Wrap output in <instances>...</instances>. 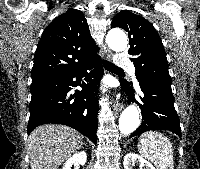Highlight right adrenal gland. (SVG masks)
Returning a JSON list of instances; mask_svg holds the SVG:
<instances>
[{
	"label": "right adrenal gland",
	"instance_id": "2a0ac1e0",
	"mask_svg": "<svg viewBox=\"0 0 200 169\" xmlns=\"http://www.w3.org/2000/svg\"><path fill=\"white\" fill-rule=\"evenodd\" d=\"M82 145H85V146H87V144H85V143H82Z\"/></svg>",
	"mask_w": 200,
	"mask_h": 169
}]
</instances>
